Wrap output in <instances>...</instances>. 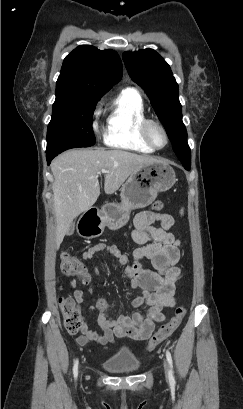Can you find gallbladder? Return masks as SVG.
<instances>
[{"mask_svg":"<svg viewBox=\"0 0 243 409\" xmlns=\"http://www.w3.org/2000/svg\"><path fill=\"white\" fill-rule=\"evenodd\" d=\"M74 223H71L67 229L66 235L71 236L74 233Z\"/></svg>","mask_w":243,"mask_h":409,"instance_id":"gallbladder-1","label":"gallbladder"}]
</instances>
